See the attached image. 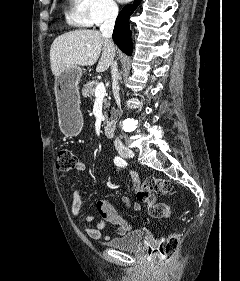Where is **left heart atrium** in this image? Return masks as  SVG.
<instances>
[{
	"label": "left heart atrium",
	"instance_id": "39dd6f15",
	"mask_svg": "<svg viewBox=\"0 0 240 281\" xmlns=\"http://www.w3.org/2000/svg\"><path fill=\"white\" fill-rule=\"evenodd\" d=\"M120 2H126V1H129V0H119Z\"/></svg>",
	"mask_w": 240,
	"mask_h": 281
}]
</instances>
